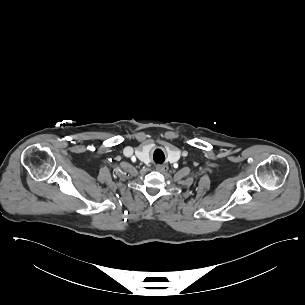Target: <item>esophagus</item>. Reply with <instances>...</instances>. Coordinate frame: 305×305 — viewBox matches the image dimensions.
Wrapping results in <instances>:
<instances>
[{
	"label": "esophagus",
	"mask_w": 305,
	"mask_h": 305,
	"mask_svg": "<svg viewBox=\"0 0 305 305\" xmlns=\"http://www.w3.org/2000/svg\"><path fill=\"white\" fill-rule=\"evenodd\" d=\"M169 169L168 165L164 164V165H157L156 166V170L160 171V172H165Z\"/></svg>",
	"instance_id": "1"
}]
</instances>
